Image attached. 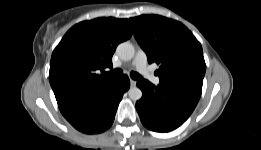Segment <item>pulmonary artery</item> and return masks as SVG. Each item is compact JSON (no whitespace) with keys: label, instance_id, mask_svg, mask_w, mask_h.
<instances>
[{"label":"pulmonary artery","instance_id":"obj_1","mask_svg":"<svg viewBox=\"0 0 261 150\" xmlns=\"http://www.w3.org/2000/svg\"><path fill=\"white\" fill-rule=\"evenodd\" d=\"M132 66H134L142 75L148 78L152 83L158 84L160 82L159 77L155 76L148 67L147 55L142 49H139L137 51L135 58L132 62Z\"/></svg>","mask_w":261,"mask_h":150}]
</instances>
